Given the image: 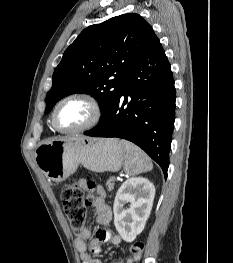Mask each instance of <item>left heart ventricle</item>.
<instances>
[{
  "instance_id": "obj_1",
  "label": "left heart ventricle",
  "mask_w": 233,
  "mask_h": 263,
  "mask_svg": "<svg viewBox=\"0 0 233 263\" xmlns=\"http://www.w3.org/2000/svg\"><path fill=\"white\" fill-rule=\"evenodd\" d=\"M91 116L90 107L81 100H70L62 104L57 113V124L65 130L84 125Z\"/></svg>"
}]
</instances>
